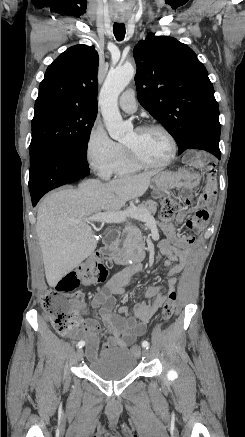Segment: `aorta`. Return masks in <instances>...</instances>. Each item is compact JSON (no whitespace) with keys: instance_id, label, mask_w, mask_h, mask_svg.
I'll return each instance as SVG.
<instances>
[{"instance_id":"762f6f07","label":"aorta","mask_w":245,"mask_h":437,"mask_svg":"<svg viewBox=\"0 0 245 437\" xmlns=\"http://www.w3.org/2000/svg\"><path fill=\"white\" fill-rule=\"evenodd\" d=\"M134 76V68L127 64L111 69L105 79L99 96L102 116L111 138L122 139L129 127L123 121L118 109V97Z\"/></svg>"}]
</instances>
